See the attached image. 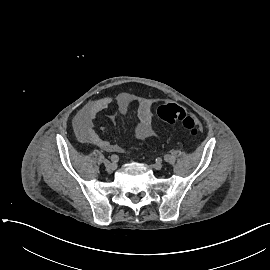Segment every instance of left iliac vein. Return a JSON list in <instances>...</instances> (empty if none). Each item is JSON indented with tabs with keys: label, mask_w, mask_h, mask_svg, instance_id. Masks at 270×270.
I'll return each mask as SVG.
<instances>
[{
	"label": "left iliac vein",
	"mask_w": 270,
	"mask_h": 270,
	"mask_svg": "<svg viewBox=\"0 0 270 270\" xmlns=\"http://www.w3.org/2000/svg\"><path fill=\"white\" fill-rule=\"evenodd\" d=\"M162 163H160V162H157V163H155L152 167L154 168V169H156V170H160L161 168H162Z\"/></svg>",
	"instance_id": "1"
}]
</instances>
